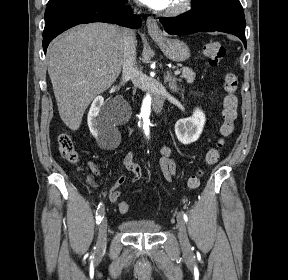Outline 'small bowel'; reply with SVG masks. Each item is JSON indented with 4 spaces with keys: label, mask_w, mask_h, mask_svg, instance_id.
<instances>
[{
    "label": "small bowel",
    "mask_w": 288,
    "mask_h": 280,
    "mask_svg": "<svg viewBox=\"0 0 288 280\" xmlns=\"http://www.w3.org/2000/svg\"><path fill=\"white\" fill-rule=\"evenodd\" d=\"M124 166L126 169L132 174V177L128 180L126 176H121L119 179L115 182V184L110 188L109 190V199L112 203L118 202L119 211L124 214L120 210V205L124 201H120L121 197V187L128 181L131 185V189H133V184L138 181L142 176V169L141 167L135 163V153L129 152L125 158H124ZM89 167L91 171L94 174H98L99 170L98 168L92 164L89 163ZM160 169L164 176V178L172 182L178 169V165L175 160L171 158V149L167 146H164L162 148V157L160 159Z\"/></svg>",
    "instance_id": "1"
}]
</instances>
